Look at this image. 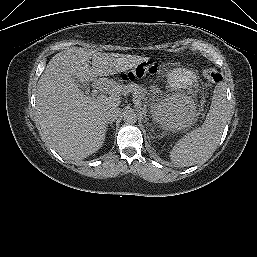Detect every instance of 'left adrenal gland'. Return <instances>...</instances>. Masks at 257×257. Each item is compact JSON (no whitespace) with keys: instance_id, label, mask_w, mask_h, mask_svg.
Returning a JSON list of instances; mask_svg holds the SVG:
<instances>
[{"instance_id":"left-adrenal-gland-1","label":"left adrenal gland","mask_w":257,"mask_h":257,"mask_svg":"<svg viewBox=\"0 0 257 257\" xmlns=\"http://www.w3.org/2000/svg\"><path fill=\"white\" fill-rule=\"evenodd\" d=\"M142 114L144 115V117L146 116V113H145V112H142Z\"/></svg>"}]
</instances>
